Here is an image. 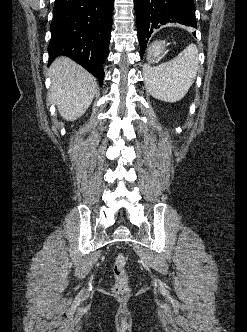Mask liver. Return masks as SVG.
<instances>
[{
  "mask_svg": "<svg viewBox=\"0 0 247 332\" xmlns=\"http://www.w3.org/2000/svg\"><path fill=\"white\" fill-rule=\"evenodd\" d=\"M49 77L52 102L57 106L60 115L67 121L80 118L94 98L96 79L66 57H59L52 63Z\"/></svg>",
  "mask_w": 247,
  "mask_h": 332,
  "instance_id": "6515ba94",
  "label": "liver"
}]
</instances>
